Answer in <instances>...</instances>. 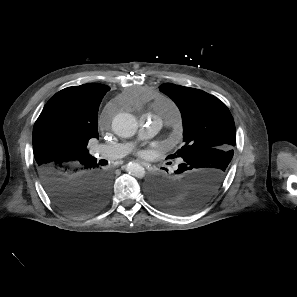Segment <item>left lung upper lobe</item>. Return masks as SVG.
Returning <instances> with one entry per match:
<instances>
[{
	"label": "left lung upper lobe",
	"instance_id": "1",
	"mask_svg": "<svg viewBox=\"0 0 297 297\" xmlns=\"http://www.w3.org/2000/svg\"><path fill=\"white\" fill-rule=\"evenodd\" d=\"M160 91L176 103L183 120L184 145L170 157H179L188 172H212L223 182L236 145L235 124L227 106L195 88L166 83Z\"/></svg>",
	"mask_w": 297,
	"mask_h": 297
}]
</instances>
